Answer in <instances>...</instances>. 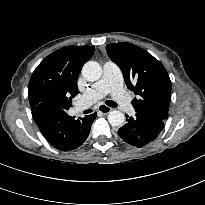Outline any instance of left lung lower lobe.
Instances as JSON below:
<instances>
[{
  "mask_svg": "<svg viewBox=\"0 0 205 205\" xmlns=\"http://www.w3.org/2000/svg\"><path fill=\"white\" fill-rule=\"evenodd\" d=\"M127 123L118 130L119 136L129 145L143 147L154 141L164 128V120L136 113V117L126 115Z\"/></svg>",
  "mask_w": 205,
  "mask_h": 205,
  "instance_id": "0a47b994",
  "label": "left lung lower lobe"
}]
</instances>
